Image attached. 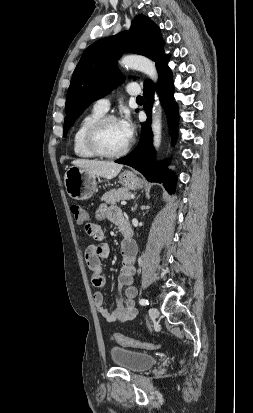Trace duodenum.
<instances>
[{"mask_svg":"<svg viewBox=\"0 0 253 413\" xmlns=\"http://www.w3.org/2000/svg\"><path fill=\"white\" fill-rule=\"evenodd\" d=\"M122 234L127 241H131L132 231L127 222L122 226Z\"/></svg>","mask_w":253,"mask_h":413,"instance_id":"obj_1","label":"duodenum"}]
</instances>
